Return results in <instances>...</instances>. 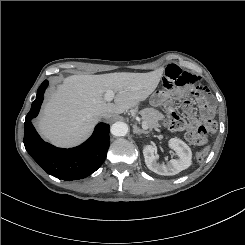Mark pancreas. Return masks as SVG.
I'll return each instance as SVG.
<instances>
[{
	"instance_id": "pancreas-1",
	"label": "pancreas",
	"mask_w": 245,
	"mask_h": 245,
	"mask_svg": "<svg viewBox=\"0 0 245 245\" xmlns=\"http://www.w3.org/2000/svg\"><path fill=\"white\" fill-rule=\"evenodd\" d=\"M142 122H145L151 131L157 129L160 124L159 121L163 119V115L154 108H145L139 112Z\"/></svg>"
}]
</instances>
